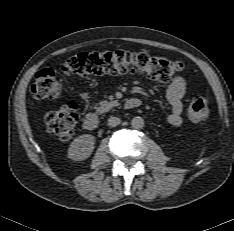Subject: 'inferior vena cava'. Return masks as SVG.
<instances>
[{
	"label": "inferior vena cava",
	"mask_w": 234,
	"mask_h": 231,
	"mask_svg": "<svg viewBox=\"0 0 234 231\" xmlns=\"http://www.w3.org/2000/svg\"><path fill=\"white\" fill-rule=\"evenodd\" d=\"M121 122V120L118 118V117H113L111 116L109 119H108V125L110 127H115L117 125H119Z\"/></svg>",
	"instance_id": "obj_1"
}]
</instances>
